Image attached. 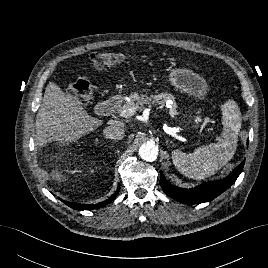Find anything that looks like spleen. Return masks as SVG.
<instances>
[{
  "mask_svg": "<svg viewBox=\"0 0 268 268\" xmlns=\"http://www.w3.org/2000/svg\"><path fill=\"white\" fill-rule=\"evenodd\" d=\"M223 133L217 137V143H210L197 148L193 153L172 152L173 163L186 177L202 180L214 175L232 159L241 128V112L234 100L222 105Z\"/></svg>",
  "mask_w": 268,
  "mask_h": 268,
  "instance_id": "3e777b00",
  "label": "spleen"
}]
</instances>
